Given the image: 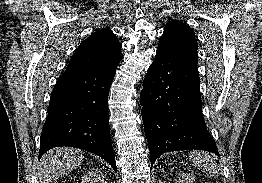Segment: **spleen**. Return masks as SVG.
I'll list each match as a JSON object with an SVG mask.
<instances>
[{
    "mask_svg": "<svg viewBox=\"0 0 262 183\" xmlns=\"http://www.w3.org/2000/svg\"><path fill=\"white\" fill-rule=\"evenodd\" d=\"M189 158L191 159L193 165L202 170L203 172L211 176H215L216 174H218L217 166L214 163L213 158L209 154L194 151L190 154Z\"/></svg>",
    "mask_w": 262,
    "mask_h": 183,
    "instance_id": "obj_1",
    "label": "spleen"
}]
</instances>
